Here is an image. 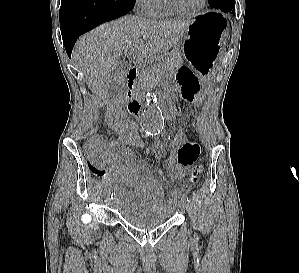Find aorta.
Instances as JSON below:
<instances>
[{
    "mask_svg": "<svg viewBox=\"0 0 299 273\" xmlns=\"http://www.w3.org/2000/svg\"><path fill=\"white\" fill-rule=\"evenodd\" d=\"M140 124L144 132L149 135H158L164 128V117L158 102L157 94L149 91L141 113Z\"/></svg>",
    "mask_w": 299,
    "mask_h": 273,
    "instance_id": "762f6f07",
    "label": "aorta"
}]
</instances>
